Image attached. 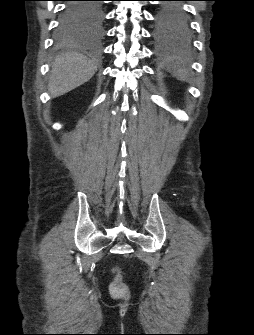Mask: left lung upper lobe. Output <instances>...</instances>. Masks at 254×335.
<instances>
[{
  "label": "left lung upper lobe",
  "mask_w": 254,
  "mask_h": 335,
  "mask_svg": "<svg viewBox=\"0 0 254 335\" xmlns=\"http://www.w3.org/2000/svg\"><path fill=\"white\" fill-rule=\"evenodd\" d=\"M167 1L157 14V33L160 36L180 34L188 29V18L185 10L177 1Z\"/></svg>",
  "instance_id": "left-lung-upper-lobe-1"
}]
</instances>
